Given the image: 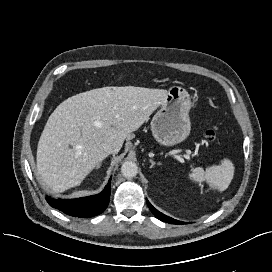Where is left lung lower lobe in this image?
Instances as JSON below:
<instances>
[{
  "label": "left lung lower lobe",
  "mask_w": 272,
  "mask_h": 272,
  "mask_svg": "<svg viewBox=\"0 0 272 272\" xmlns=\"http://www.w3.org/2000/svg\"><path fill=\"white\" fill-rule=\"evenodd\" d=\"M147 204H148V207L149 209L151 210V212L156 216V218L162 220V221H165L167 223H171V224H184L185 222H181V221H177L173 218H170L166 215H164L163 213L159 212L157 209H155L150 203L149 201L147 200Z\"/></svg>",
  "instance_id": "0a47b994"
}]
</instances>
